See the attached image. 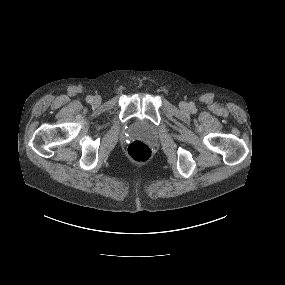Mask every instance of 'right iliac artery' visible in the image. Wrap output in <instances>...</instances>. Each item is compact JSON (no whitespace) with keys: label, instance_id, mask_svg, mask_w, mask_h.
I'll use <instances>...</instances> for the list:
<instances>
[{"label":"right iliac artery","instance_id":"right-iliac-artery-1","mask_svg":"<svg viewBox=\"0 0 285 285\" xmlns=\"http://www.w3.org/2000/svg\"><path fill=\"white\" fill-rule=\"evenodd\" d=\"M86 101L88 103H91L93 101V97L92 96H87Z\"/></svg>","mask_w":285,"mask_h":285}]
</instances>
